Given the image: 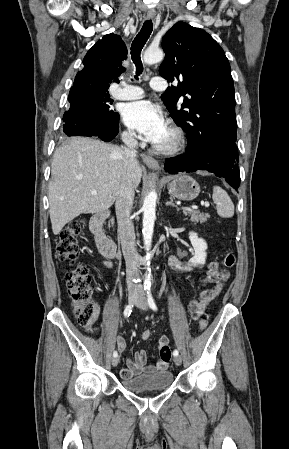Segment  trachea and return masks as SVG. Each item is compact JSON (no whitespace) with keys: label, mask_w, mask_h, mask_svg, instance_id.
<instances>
[{"label":"trachea","mask_w":289,"mask_h":449,"mask_svg":"<svg viewBox=\"0 0 289 449\" xmlns=\"http://www.w3.org/2000/svg\"><path fill=\"white\" fill-rule=\"evenodd\" d=\"M153 30V23L151 20H146L138 33V35L134 38V41L131 44V57L132 61L136 66V75L135 79H138V76L143 72V65L141 62V51L150 37Z\"/></svg>","instance_id":"3493384b"}]
</instances>
